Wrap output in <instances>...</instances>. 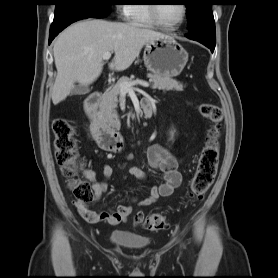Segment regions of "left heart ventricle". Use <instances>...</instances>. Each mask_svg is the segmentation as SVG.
I'll list each match as a JSON object with an SVG mask.
<instances>
[{
    "label": "left heart ventricle",
    "mask_w": 278,
    "mask_h": 278,
    "mask_svg": "<svg viewBox=\"0 0 278 278\" xmlns=\"http://www.w3.org/2000/svg\"><path fill=\"white\" fill-rule=\"evenodd\" d=\"M181 14V4L171 3L157 6V15L159 19L167 25H172L179 21Z\"/></svg>",
    "instance_id": "left-heart-ventricle-1"
}]
</instances>
